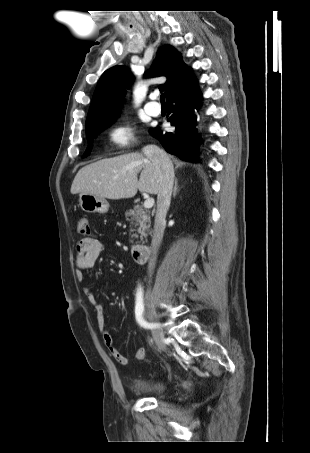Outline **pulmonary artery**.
Here are the masks:
<instances>
[{"mask_svg":"<svg viewBox=\"0 0 310 453\" xmlns=\"http://www.w3.org/2000/svg\"><path fill=\"white\" fill-rule=\"evenodd\" d=\"M144 109L149 115L152 116H158L161 111L159 106H154L152 103L145 104Z\"/></svg>","mask_w":310,"mask_h":453,"instance_id":"pulmonary-artery-1","label":"pulmonary artery"}]
</instances>
